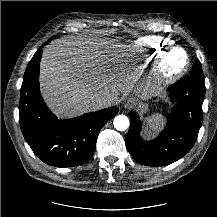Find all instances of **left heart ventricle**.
<instances>
[{"label":"left heart ventricle","mask_w":217,"mask_h":217,"mask_svg":"<svg viewBox=\"0 0 217 217\" xmlns=\"http://www.w3.org/2000/svg\"><path fill=\"white\" fill-rule=\"evenodd\" d=\"M185 61L184 54L181 51H176L172 54L168 61V68L175 69L183 65Z\"/></svg>","instance_id":"left-heart-ventricle-1"}]
</instances>
